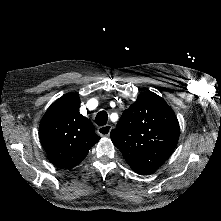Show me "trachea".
I'll return each instance as SVG.
<instances>
[{"label":"trachea","instance_id":"trachea-1","mask_svg":"<svg viewBox=\"0 0 221 221\" xmlns=\"http://www.w3.org/2000/svg\"><path fill=\"white\" fill-rule=\"evenodd\" d=\"M108 122V114L106 111H100L95 117V123L99 126H104Z\"/></svg>","mask_w":221,"mask_h":221}]
</instances>
